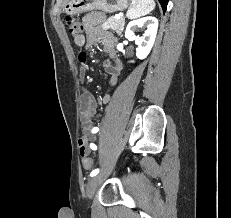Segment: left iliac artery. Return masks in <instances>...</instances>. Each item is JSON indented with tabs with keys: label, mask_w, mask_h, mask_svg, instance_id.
<instances>
[{
	"label": "left iliac artery",
	"mask_w": 231,
	"mask_h": 218,
	"mask_svg": "<svg viewBox=\"0 0 231 218\" xmlns=\"http://www.w3.org/2000/svg\"><path fill=\"white\" fill-rule=\"evenodd\" d=\"M98 131H99V128H98V127H94V128L92 129L91 132L94 134V133H97ZM90 148H91L92 150H97V146H96L94 143H90ZM98 173H99V169H98V168H97V169H94V170L91 172L90 176H91V177L96 176Z\"/></svg>",
	"instance_id": "left-iliac-artery-1"
}]
</instances>
